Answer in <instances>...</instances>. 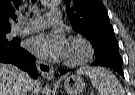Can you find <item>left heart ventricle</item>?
Returning <instances> with one entry per match:
<instances>
[{"label":"left heart ventricle","instance_id":"obj_1","mask_svg":"<svg viewBox=\"0 0 135 95\" xmlns=\"http://www.w3.org/2000/svg\"><path fill=\"white\" fill-rule=\"evenodd\" d=\"M84 53L83 47L80 44H70L67 51V58L78 59Z\"/></svg>","mask_w":135,"mask_h":95}]
</instances>
